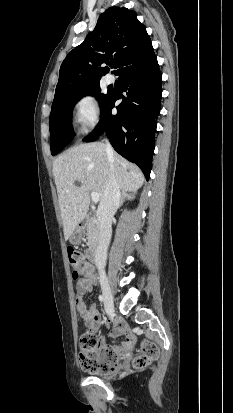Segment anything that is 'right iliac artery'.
Returning a JSON list of instances; mask_svg holds the SVG:
<instances>
[{"mask_svg":"<svg viewBox=\"0 0 233 413\" xmlns=\"http://www.w3.org/2000/svg\"><path fill=\"white\" fill-rule=\"evenodd\" d=\"M99 300H100L101 302H103V301H104V297H103L102 295H99Z\"/></svg>","mask_w":233,"mask_h":413,"instance_id":"obj_1","label":"right iliac artery"}]
</instances>
